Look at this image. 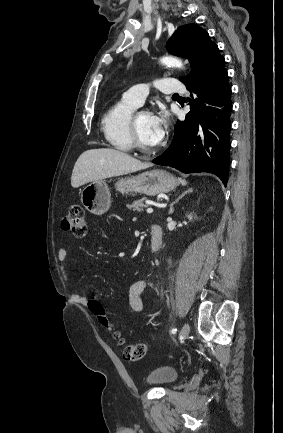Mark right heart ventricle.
Returning a JSON list of instances; mask_svg holds the SVG:
<instances>
[{"label":"right heart ventricle","instance_id":"e07e8e85","mask_svg":"<svg viewBox=\"0 0 283 433\" xmlns=\"http://www.w3.org/2000/svg\"><path fill=\"white\" fill-rule=\"evenodd\" d=\"M136 105L122 98L101 119V129L105 139L120 151H129L133 145L131 136L132 116Z\"/></svg>","mask_w":283,"mask_h":433}]
</instances>
